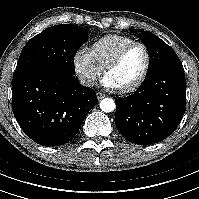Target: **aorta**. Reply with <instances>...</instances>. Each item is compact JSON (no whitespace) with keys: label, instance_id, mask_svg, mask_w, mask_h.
Returning a JSON list of instances; mask_svg holds the SVG:
<instances>
[{"label":"aorta","instance_id":"1","mask_svg":"<svg viewBox=\"0 0 199 199\" xmlns=\"http://www.w3.org/2000/svg\"><path fill=\"white\" fill-rule=\"evenodd\" d=\"M115 106H116L115 102L111 98H104L100 101V109L103 112H106V113L112 112L114 111Z\"/></svg>","mask_w":199,"mask_h":199}]
</instances>
